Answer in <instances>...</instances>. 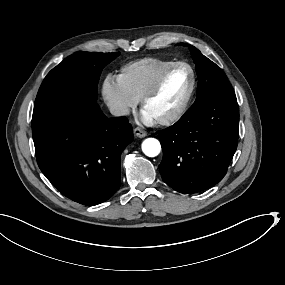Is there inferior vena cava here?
<instances>
[{
    "label": "inferior vena cava",
    "instance_id": "602c4592",
    "mask_svg": "<svg viewBox=\"0 0 285 285\" xmlns=\"http://www.w3.org/2000/svg\"><path fill=\"white\" fill-rule=\"evenodd\" d=\"M109 111L113 116H128L130 114V108L125 105L113 104L109 107Z\"/></svg>",
    "mask_w": 285,
    "mask_h": 285
}]
</instances>
